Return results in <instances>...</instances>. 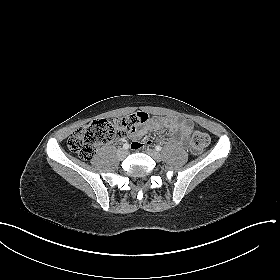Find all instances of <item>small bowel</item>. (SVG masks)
<instances>
[{
	"instance_id": "obj_1",
	"label": "small bowel",
	"mask_w": 280,
	"mask_h": 280,
	"mask_svg": "<svg viewBox=\"0 0 280 280\" xmlns=\"http://www.w3.org/2000/svg\"><path fill=\"white\" fill-rule=\"evenodd\" d=\"M167 130L171 134H179L180 142L183 143L187 136L194 129V124L192 121L184 118L177 117H165L161 119L150 120L143 128L135 129L130 132L134 139H140L145 136L149 131L152 130Z\"/></svg>"
}]
</instances>
